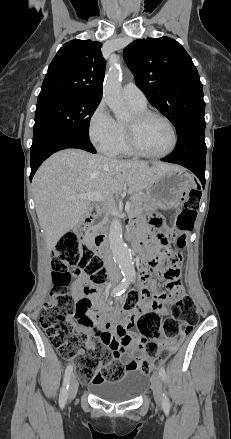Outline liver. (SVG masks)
<instances>
[{
  "mask_svg": "<svg viewBox=\"0 0 231 439\" xmlns=\"http://www.w3.org/2000/svg\"><path fill=\"white\" fill-rule=\"evenodd\" d=\"M178 169L181 167L169 163L149 165L143 161L92 155L80 149L53 154L40 166L32 181L36 213L48 253L79 223L89 207L88 200L69 197L94 192L112 201L114 194L126 186L131 190L146 189L159 176Z\"/></svg>",
  "mask_w": 231,
  "mask_h": 439,
  "instance_id": "obj_1",
  "label": "liver"
}]
</instances>
